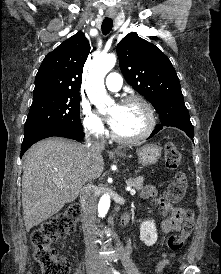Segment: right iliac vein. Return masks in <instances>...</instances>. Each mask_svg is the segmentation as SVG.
Returning <instances> with one entry per match:
<instances>
[{"mask_svg": "<svg viewBox=\"0 0 221 274\" xmlns=\"http://www.w3.org/2000/svg\"><path fill=\"white\" fill-rule=\"evenodd\" d=\"M87 274H97V267L95 265H91L87 268Z\"/></svg>", "mask_w": 221, "mask_h": 274, "instance_id": "obj_1", "label": "right iliac vein"}]
</instances>
